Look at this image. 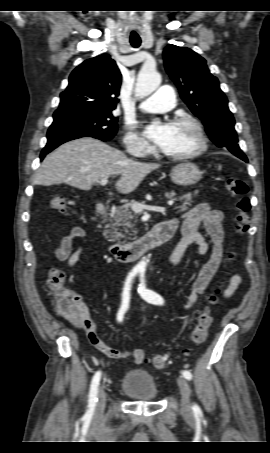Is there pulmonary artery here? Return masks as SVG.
<instances>
[{
    "instance_id": "1",
    "label": "pulmonary artery",
    "mask_w": 270,
    "mask_h": 453,
    "mask_svg": "<svg viewBox=\"0 0 270 453\" xmlns=\"http://www.w3.org/2000/svg\"><path fill=\"white\" fill-rule=\"evenodd\" d=\"M175 105V92L170 86H162L155 93L139 104L142 111L150 113H165Z\"/></svg>"
}]
</instances>
